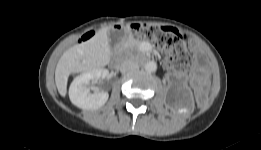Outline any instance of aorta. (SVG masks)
Wrapping results in <instances>:
<instances>
[{"instance_id":"aorta-1","label":"aorta","mask_w":261,"mask_h":150,"mask_svg":"<svg viewBox=\"0 0 261 150\" xmlns=\"http://www.w3.org/2000/svg\"><path fill=\"white\" fill-rule=\"evenodd\" d=\"M157 69V63L155 61H148L145 64V70L147 72H155Z\"/></svg>"}]
</instances>
